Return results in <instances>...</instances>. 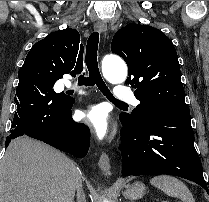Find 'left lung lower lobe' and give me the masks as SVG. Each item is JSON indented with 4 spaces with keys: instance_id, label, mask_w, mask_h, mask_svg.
<instances>
[{
    "instance_id": "left-lung-lower-lobe-1",
    "label": "left lung lower lobe",
    "mask_w": 209,
    "mask_h": 202,
    "mask_svg": "<svg viewBox=\"0 0 209 202\" xmlns=\"http://www.w3.org/2000/svg\"><path fill=\"white\" fill-rule=\"evenodd\" d=\"M122 122V175H176L199 184L209 194L188 114L147 110L143 117Z\"/></svg>"
}]
</instances>
